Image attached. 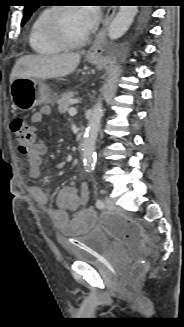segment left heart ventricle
<instances>
[{"label": "left heart ventricle", "mask_w": 184, "mask_h": 327, "mask_svg": "<svg viewBox=\"0 0 184 327\" xmlns=\"http://www.w3.org/2000/svg\"><path fill=\"white\" fill-rule=\"evenodd\" d=\"M59 25L64 35L74 41L89 31L77 8L62 12L59 16Z\"/></svg>", "instance_id": "obj_1"}]
</instances>
